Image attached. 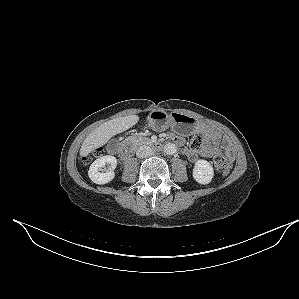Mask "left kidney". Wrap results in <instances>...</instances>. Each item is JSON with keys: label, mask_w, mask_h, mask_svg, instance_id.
Listing matches in <instances>:
<instances>
[{"label": "left kidney", "mask_w": 299, "mask_h": 299, "mask_svg": "<svg viewBox=\"0 0 299 299\" xmlns=\"http://www.w3.org/2000/svg\"><path fill=\"white\" fill-rule=\"evenodd\" d=\"M214 177V170L212 165L203 159L197 160L193 169V178L199 184H209Z\"/></svg>", "instance_id": "left-kidney-1"}]
</instances>
